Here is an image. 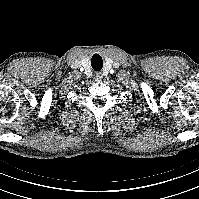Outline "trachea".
I'll return each mask as SVG.
<instances>
[{"label":"trachea","mask_w":199,"mask_h":199,"mask_svg":"<svg viewBox=\"0 0 199 199\" xmlns=\"http://www.w3.org/2000/svg\"><path fill=\"white\" fill-rule=\"evenodd\" d=\"M91 65H92V68L95 71H100L102 69V66H103L102 58L98 55L93 56V59L91 61Z\"/></svg>","instance_id":"obj_1"}]
</instances>
